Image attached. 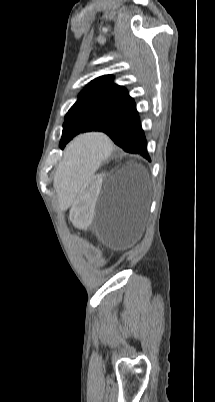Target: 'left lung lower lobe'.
<instances>
[{
  "instance_id": "left-lung-lower-lobe-1",
  "label": "left lung lower lobe",
  "mask_w": 215,
  "mask_h": 402,
  "mask_svg": "<svg viewBox=\"0 0 215 402\" xmlns=\"http://www.w3.org/2000/svg\"><path fill=\"white\" fill-rule=\"evenodd\" d=\"M94 131L106 133L124 151L138 153L150 160L147 141L134 102Z\"/></svg>"
}]
</instances>
